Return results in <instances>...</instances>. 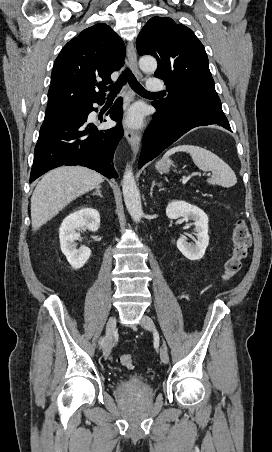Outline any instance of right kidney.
I'll return each instance as SVG.
<instances>
[{
	"label": "right kidney",
	"mask_w": 272,
	"mask_h": 452,
	"mask_svg": "<svg viewBox=\"0 0 272 452\" xmlns=\"http://www.w3.org/2000/svg\"><path fill=\"white\" fill-rule=\"evenodd\" d=\"M84 227L92 232L99 229L100 214L96 209L82 208L75 211L63 220L59 229L61 251L74 269L83 267L91 255L88 247L76 248L75 241L80 239L77 231Z\"/></svg>",
	"instance_id": "right-kidney-1"
}]
</instances>
